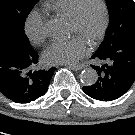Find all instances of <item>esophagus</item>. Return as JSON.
<instances>
[{
	"instance_id": "obj_1",
	"label": "esophagus",
	"mask_w": 135,
	"mask_h": 135,
	"mask_svg": "<svg viewBox=\"0 0 135 135\" xmlns=\"http://www.w3.org/2000/svg\"><path fill=\"white\" fill-rule=\"evenodd\" d=\"M65 67L69 68V69H72V70H75V71H78V70H81L83 68L82 65H64Z\"/></svg>"
}]
</instances>
